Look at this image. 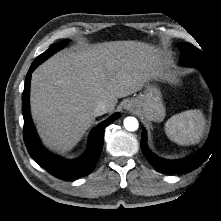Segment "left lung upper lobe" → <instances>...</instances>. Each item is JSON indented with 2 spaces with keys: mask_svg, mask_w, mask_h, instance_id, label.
<instances>
[{
  "mask_svg": "<svg viewBox=\"0 0 221 221\" xmlns=\"http://www.w3.org/2000/svg\"><path fill=\"white\" fill-rule=\"evenodd\" d=\"M178 46L181 52L180 60L182 63L194 66L200 70L210 67L205 54L192 44L180 43Z\"/></svg>",
  "mask_w": 221,
  "mask_h": 221,
  "instance_id": "1",
  "label": "left lung upper lobe"
}]
</instances>
